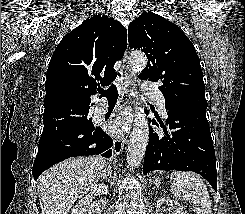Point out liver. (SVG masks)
<instances>
[{
	"instance_id": "1",
	"label": "liver",
	"mask_w": 245,
	"mask_h": 214,
	"mask_svg": "<svg viewBox=\"0 0 245 214\" xmlns=\"http://www.w3.org/2000/svg\"><path fill=\"white\" fill-rule=\"evenodd\" d=\"M107 166L99 156L79 157L43 172L37 185L41 214H68L74 203L106 175Z\"/></svg>"
}]
</instances>
